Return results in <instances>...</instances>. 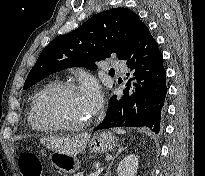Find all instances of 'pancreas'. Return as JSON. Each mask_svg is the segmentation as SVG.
Segmentation results:
<instances>
[{
  "mask_svg": "<svg viewBox=\"0 0 205 176\" xmlns=\"http://www.w3.org/2000/svg\"><path fill=\"white\" fill-rule=\"evenodd\" d=\"M75 176H83L81 173L76 174Z\"/></svg>",
  "mask_w": 205,
  "mask_h": 176,
  "instance_id": "1",
  "label": "pancreas"
}]
</instances>
